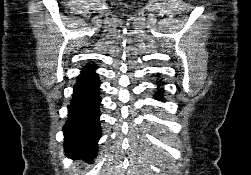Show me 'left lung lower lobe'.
<instances>
[{"label":"left lung lower lobe","instance_id":"left-lung-lower-lobe-1","mask_svg":"<svg viewBox=\"0 0 251 175\" xmlns=\"http://www.w3.org/2000/svg\"><path fill=\"white\" fill-rule=\"evenodd\" d=\"M158 83H161V81H160V82H158ZM158 87H159V86H158ZM158 90H159V92L157 93V95H158V96H160V95L162 94L163 89H162V88H161V89H159V88H158ZM159 100L164 101V100H163V99H161V98H160Z\"/></svg>","mask_w":251,"mask_h":175}]
</instances>
